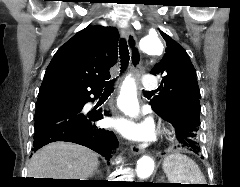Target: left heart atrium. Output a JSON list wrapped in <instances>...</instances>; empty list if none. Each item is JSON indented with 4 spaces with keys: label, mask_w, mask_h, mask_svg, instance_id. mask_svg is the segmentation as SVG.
<instances>
[{
    "label": "left heart atrium",
    "mask_w": 240,
    "mask_h": 187,
    "mask_svg": "<svg viewBox=\"0 0 240 187\" xmlns=\"http://www.w3.org/2000/svg\"><path fill=\"white\" fill-rule=\"evenodd\" d=\"M117 126L123 134L135 140H147L153 135V126L150 122L136 125L128 121H119Z\"/></svg>",
    "instance_id": "left-heart-atrium-1"
}]
</instances>
